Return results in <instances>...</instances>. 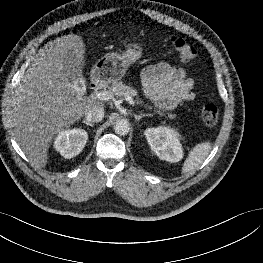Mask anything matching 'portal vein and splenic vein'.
I'll list each match as a JSON object with an SVG mask.
<instances>
[{
	"instance_id": "18ae733b",
	"label": "portal vein and splenic vein",
	"mask_w": 263,
	"mask_h": 263,
	"mask_svg": "<svg viewBox=\"0 0 263 263\" xmlns=\"http://www.w3.org/2000/svg\"><path fill=\"white\" fill-rule=\"evenodd\" d=\"M95 97L101 101H108L109 99H112L113 98V94L109 91H100V92H97L95 94ZM125 100L130 103L131 105H134L135 102L134 100L132 99V97L130 95H125Z\"/></svg>"
}]
</instances>
